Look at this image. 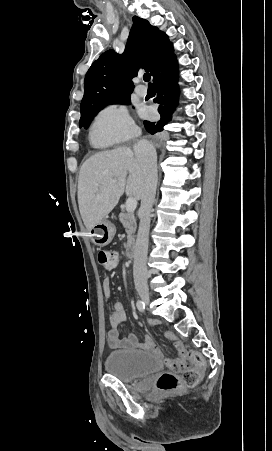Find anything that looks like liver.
<instances>
[{
	"label": "liver",
	"instance_id": "6515ba94",
	"mask_svg": "<svg viewBox=\"0 0 272 451\" xmlns=\"http://www.w3.org/2000/svg\"><path fill=\"white\" fill-rule=\"evenodd\" d=\"M143 190V168L131 148L122 146L94 154L81 166L78 178V204L85 226L90 231L104 220L124 192L141 200Z\"/></svg>",
	"mask_w": 272,
	"mask_h": 451
}]
</instances>
